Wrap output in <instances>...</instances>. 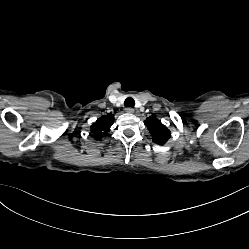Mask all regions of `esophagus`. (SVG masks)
Returning a JSON list of instances; mask_svg holds the SVG:
<instances>
[{"label": "esophagus", "mask_w": 249, "mask_h": 249, "mask_svg": "<svg viewBox=\"0 0 249 249\" xmlns=\"http://www.w3.org/2000/svg\"><path fill=\"white\" fill-rule=\"evenodd\" d=\"M125 111H126L127 113H133V112H134V109H133L132 107H127V108H125Z\"/></svg>", "instance_id": "obj_1"}]
</instances>
